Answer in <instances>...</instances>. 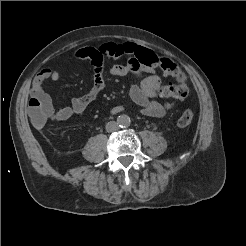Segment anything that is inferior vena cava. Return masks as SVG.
<instances>
[{
    "label": "inferior vena cava",
    "instance_id": "obj_1",
    "mask_svg": "<svg viewBox=\"0 0 246 246\" xmlns=\"http://www.w3.org/2000/svg\"><path fill=\"white\" fill-rule=\"evenodd\" d=\"M119 129V125L115 121H110L106 124V131L107 132H114Z\"/></svg>",
    "mask_w": 246,
    "mask_h": 246
}]
</instances>
